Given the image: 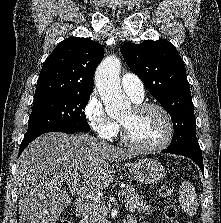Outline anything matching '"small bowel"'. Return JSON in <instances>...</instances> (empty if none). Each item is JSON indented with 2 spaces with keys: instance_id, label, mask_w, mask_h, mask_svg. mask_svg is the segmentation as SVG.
<instances>
[{
  "instance_id": "obj_1",
  "label": "small bowel",
  "mask_w": 221,
  "mask_h": 223,
  "mask_svg": "<svg viewBox=\"0 0 221 223\" xmlns=\"http://www.w3.org/2000/svg\"><path fill=\"white\" fill-rule=\"evenodd\" d=\"M127 223H138V222L133 217H129ZM142 223H148V222H142Z\"/></svg>"
}]
</instances>
